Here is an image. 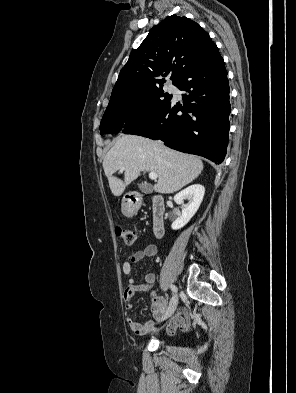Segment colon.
I'll return each instance as SVG.
<instances>
[{"label":"colon","instance_id":"obj_1","mask_svg":"<svg viewBox=\"0 0 296 393\" xmlns=\"http://www.w3.org/2000/svg\"><path fill=\"white\" fill-rule=\"evenodd\" d=\"M116 235L121 238L126 245H133L135 242V233L122 227L116 228Z\"/></svg>","mask_w":296,"mask_h":393}]
</instances>
